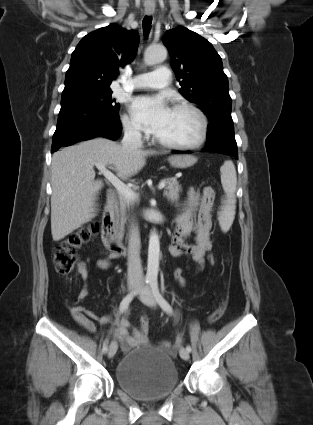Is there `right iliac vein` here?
<instances>
[{
	"label": "right iliac vein",
	"mask_w": 313,
	"mask_h": 425,
	"mask_svg": "<svg viewBox=\"0 0 313 425\" xmlns=\"http://www.w3.org/2000/svg\"><path fill=\"white\" fill-rule=\"evenodd\" d=\"M137 287H138V284L136 282H131L128 285V289L130 291H133ZM116 351H117V343L113 341V342H111V344L109 346L108 357L112 358L115 355Z\"/></svg>",
	"instance_id": "obj_1"
}]
</instances>
